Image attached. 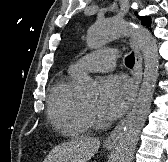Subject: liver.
Masks as SVG:
<instances>
[{
    "instance_id": "obj_1",
    "label": "liver",
    "mask_w": 168,
    "mask_h": 162,
    "mask_svg": "<svg viewBox=\"0 0 168 162\" xmlns=\"http://www.w3.org/2000/svg\"><path fill=\"white\" fill-rule=\"evenodd\" d=\"M100 147L98 138L80 137L55 146L43 162H87Z\"/></svg>"
}]
</instances>
